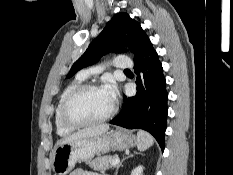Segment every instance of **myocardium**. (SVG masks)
Segmentation results:
<instances>
[{"label":"myocardium","mask_w":233,"mask_h":175,"mask_svg":"<svg viewBox=\"0 0 233 175\" xmlns=\"http://www.w3.org/2000/svg\"><path fill=\"white\" fill-rule=\"evenodd\" d=\"M101 86L95 83H85L81 84L75 89H73L63 100L61 107H60V118L61 121L70 128H81L91 125L100 124L105 122L106 120L110 119L117 110L116 104L113 102L111 109L102 117L96 119H89V120H77L73 118L70 114V107L74 100L78 98L80 95L84 94L85 92L100 89Z\"/></svg>","instance_id":"obj_1"}]
</instances>
